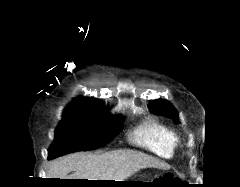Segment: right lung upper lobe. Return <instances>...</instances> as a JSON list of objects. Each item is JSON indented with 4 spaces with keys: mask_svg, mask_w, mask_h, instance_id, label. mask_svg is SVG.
Instances as JSON below:
<instances>
[{
    "mask_svg": "<svg viewBox=\"0 0 240 187\" xmlns=\"http://www.w3.org/2000/svg\"><path fill=\"white\" fill-rule=\"evenodd\" d=\"M65 110L107 113V110H105V108L98 101L87 97H78L74 99V101L70 103Z\"/></svg>",
    "mask_w": 240,
    "mask_h": 187,
    "instance_id": "1",
    "label": "right lung upper lobe"
}]
</instances>
